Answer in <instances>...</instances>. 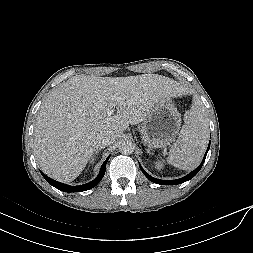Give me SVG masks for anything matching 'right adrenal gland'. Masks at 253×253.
Returning a JSON list of instances; mask_svg holds the SVG:
<instances>
[{"label": "right adrenal gland", "instance_id": "right-adrenal-gland-1", "mask_svg": "<svg viewBox=\"0 0 253 253\" xmlns=\"http://www.w3.org/2000/svg\"><path fill=\"white\" fill-rule=\"evenodd\" d=\"M104 147L100 146L97 148V150L95 151L94 155L92 156L90 163L94 162L96 156L98 155V153L101 151V149H103Z\"/></svg>", "mask_w": 253, "mask_h": 253}]
</instances>
